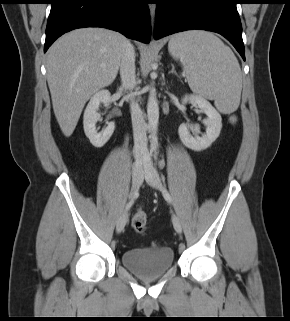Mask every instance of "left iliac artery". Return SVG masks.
Segmentation results:
<instances>
[{"label": "left iliac artery", "mask_w": 290, "mask_h": 321, "mask_svg": "<svg viewBox=\"0 0 290 321\" xmlns=\"http://www.w3.org/2000/svg\"><path fill=\"white\" fill-rule=\"evenodd\" d=\"M157 156H158V154L156 153V154H155V159H156V160H157ZM161 191H162V193H163L164 198H165L169 203H172V199H171L170 194L168 193L167 189H166L164 186H162V185H161Z\"/></svg>", "instance_id": "1"}]
</instances>
